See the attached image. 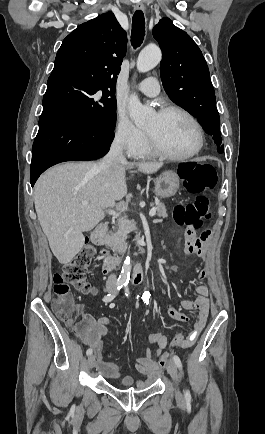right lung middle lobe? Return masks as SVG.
<instances>
[{"instance_id":"right-lung-middle-lobe-1","label":"right lung middle lobe","mask_w":265,"mask_h":434,"mask_svg":"<svg viewBox=\"0 0 265 434\" xmlns=\"http://www.w3.org/2000/svg\"><path fill=\"white\" fill-rule=\"evenodd\" d=\"M115 84L90 76L49 77L43 107L64 109L84 124L113 131L115 124Z\"/></svg>"}]
</instances>
